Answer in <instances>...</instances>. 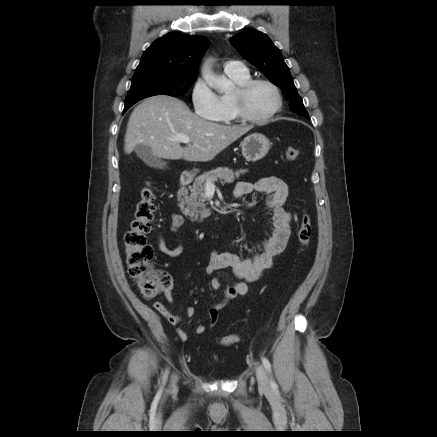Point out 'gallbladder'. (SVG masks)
Instances as JSON below:
<instances>
[{"mask_svg": "<svg viewBox=\"0 0 437 437\" xmlns=\"http://www.w3.org/2000/svg\"><path fill=\"white\" fill-rule=\"evenodd\" d=\"M137 156L149 167L163 169L166 163L160 158L156 157L149 146L138 144L134 148Z\"/></svg>", "mask_w": 437, "mask_h": 437, "instance_id": "bac80fb5", "label": "gallbladder"}]
</instances>
